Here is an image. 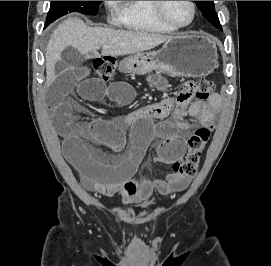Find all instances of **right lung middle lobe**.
<instances>
[{
	"label": "right lung middle lobe",
	"mask_w": 271,
	"mask_h": 266,
	"mask_svg": "<svg viewBox=\"0 0 271 266\" xmlns=\"http://www.w3.org/2000/svg\"><path fill=\"white\" fill-rule=\"evenodd\" d=\"M101 1H52L46 18L45 27L70 12L96 15Z\"/></svg>",
	"instance_id": "obj_1"
}]
</instances>
